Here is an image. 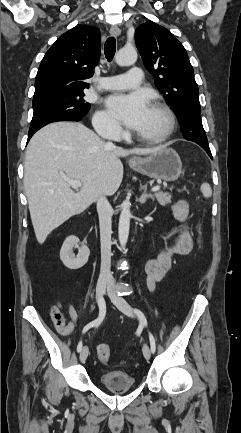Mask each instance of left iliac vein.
<instances>
[{"label": "left iliac vein", "instance_id": "obj_1", "mask_svg": "<svg viewBox=\"0 0 241 433\" xmlns=\"http://www.w3.org/2000/svg\"><path fill=\"white\" fill-rule=\"evenodd\" d=\"M108 295L111 299V301L114 303V305L120 310L122 311L124 314H126L129 317H134V313L130 307V305L128 304V302L122 298L121 296H118L115 291L112 290L111 287L108 288L107 290ZM143 355L145 357V359L149 360L151 357V351L149 346L145 343L143 345Z\"/></svg>", "mask_w": 241, "mask_h": 433}]
</instances>
